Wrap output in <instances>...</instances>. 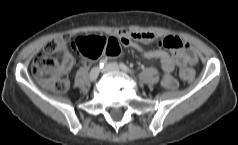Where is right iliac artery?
Here are the masks:
<instances>
[{
	"mask_svg": "<svg viewBox=\"0 0 238 145\" xmlns=\"http://www.w3.org/2000/svg\"><path fill=\"white\" fill-rule=\"evenodd\" d=\"M106 63H107V59L105 58L101 59L99 62V67L103 68L106 65Z\"/></svg>",
	"mask_w": 238,
	"mask_h": 145,
	"instance_id": "82829eb1",
	"label": "right iliac artery"
}]
</instances>
